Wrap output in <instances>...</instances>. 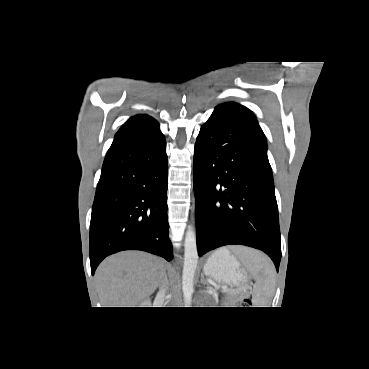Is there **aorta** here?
I'll return each mask as SVG.
<instances>
[{
    "label": "aorta",
    "instance_id": "762f6f07",
    "mask_svg": "<svg viewBox=\"0 0 369 369\" xmlns=\"http://www.w3.org/2000/svg\"><path fill=\"white\" fill-rule=\"evenodd\" d=\"M198 264L196 234L193 226H188L184 241V265L182 272V291L184 302L190 305L194 292V275Z\"/></svg>",
    "mask_w": 369,
    "mask_h": 369
}]
</instances>
